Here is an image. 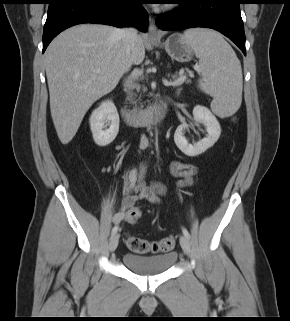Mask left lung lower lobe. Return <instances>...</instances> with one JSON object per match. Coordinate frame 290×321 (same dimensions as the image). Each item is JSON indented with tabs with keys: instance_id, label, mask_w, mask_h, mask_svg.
Listing matches in <instances>:
<instances>
[{
	"instance_id": "left-lung-lower-lobe-1",
	"label": "left lung lower lobe",
	"mask_w": 290,
	"mask_h": 321,
	"mask_svg": "<svg viewBox=\"0 0 290 321\" xmlns=\"http://www.w3.org/2000/svg\"><path fill=\"white\" fill-rule=\"evenodd\" d=\"M241 0H176L178 9L157 17L162 30L176 31L194 27L217 30L231 39L246 55Z\"/></svg>"
}]
</instances>
